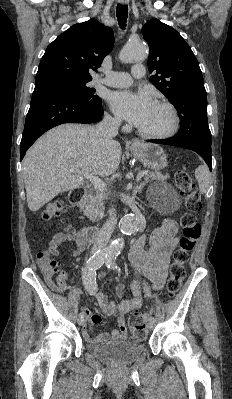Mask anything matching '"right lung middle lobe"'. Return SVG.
I'll use <instances>...</instances> for the list:
<instances>
[{
  "instance_id": "right-lung-middle-lobe-1",
  "label": "right lung middle lobe",
  "mask_w": 232,
  "mask_h": 399,
  "mask_svg": "<svg viewBox=\"0 0 232 399\" xmlns=\"http://www.w3.org/2000/svg\"><path fill=\"white\" fill-rule=\"evenodd\" d=\"M91 80L74 79V78H55L45 82L58 84L70 91H72L79 99L89 104L98 105L101 103V98L95 95V89L86 86Z\"/></svg>"
}]
</instances>
